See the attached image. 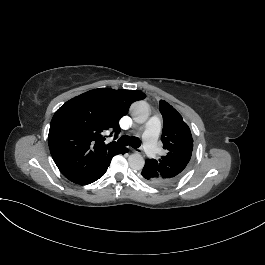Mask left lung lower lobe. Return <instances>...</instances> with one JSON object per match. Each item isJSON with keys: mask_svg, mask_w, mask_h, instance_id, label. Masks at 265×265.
Masks as SVG:
<instances>
[{"mask_svg": "<svg viewBox=\"0 0 265 265\" xmlns=\"http://www.w3.org/2000/svg\"><path fill=\"white\" fill-rule=\"evenodd\" d=\"M143 180L155 186H167L169 182L160 175V173L149 164L148 160L145 161V166L141 172Z\"/></svg>", "mask_w": 265, "mask_h": 265, "instance_id": "1", "label": "left lung lower lobe"}]
</instances>
